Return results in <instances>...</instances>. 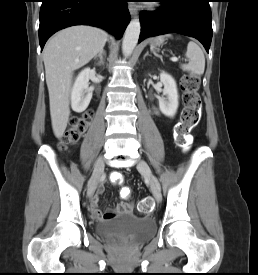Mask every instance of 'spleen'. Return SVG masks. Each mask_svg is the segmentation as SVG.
Masks as SVG:
<instances>
[{
	"label": "spleen",
	"mask_w": 258,
	"mask_h": 275,
	"mask_svg": "<svg viewBox=\"0 0 258 275\" xmlns=\"http://www.w3.org/2000/svg\"><path fill=\"white\" fill-rule=\"evenodd\" d=\"M167 37H171V35H167ZM151 50H154V45H151ZM186 57L189 62L181 65V68L192 74L202 75L205 69V56L199 45L190 41L187 46Z\"/></svg>",
	"instance_id": "obj_1"
}]
</instances>
